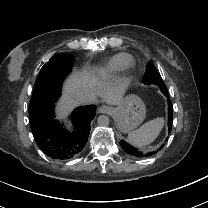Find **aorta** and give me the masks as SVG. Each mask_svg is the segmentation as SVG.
<instances>
[{
	"mask_svg": "<svg viewBox=\"0 0 208 208\" xmlns=\"http://www.w3.org/2000/svg\"><path fill=\"white\" fill-rule=\"evenodd\" d=\"M98 124L102 127H107L110 124V119L108 116L101 115L98 117Z\"/></svg>",
	"mask_w": 208,
	"mask_h": 208,
	"instance_id": "1",
	"label": "aorta"
}]
</instances>
